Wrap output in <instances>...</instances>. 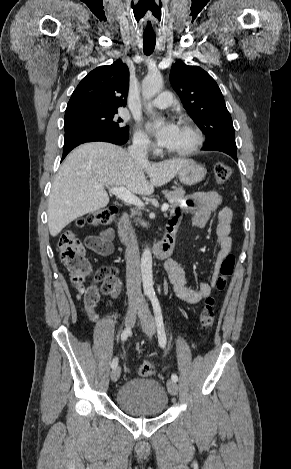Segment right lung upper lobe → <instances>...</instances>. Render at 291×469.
Listing matches in <instances>:
<instances>
[{
	"instance_id": "right-lung-upper-lobe-1",
	"label": "right lung upper lobe",
	"mask_w": 291,
	"mask_h": 469,
	"mask_svg": "<svg viewBox=\"0 0 291 469\" xmlns=\"http://www.w3.org/2000/svg\"><path fill=\"white\" fill-rule=\"evenodd\" d=\"M129 70L121 60L91 71L74 90L65 114L89 109L126 106Z\"/></svg>"
}]
</instances>
